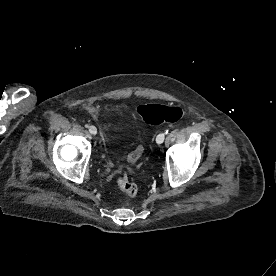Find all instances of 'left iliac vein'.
<instances>
[{
	"mask_svg": "<svg viewBox=\"0 0 276 276\" xmlns=\"http://www.w3.org/2000/svg\"><path fill=\"white\" fill-rule=\"evenodd\" d=\"M164 139H165V133H160L156 138V142L158 144H162L164 142Z\"/></svg>",
	"mask_w": 276,
	"mask_h": 276,
	"instance_id": "left-iliac-vein-1",
	"label": "left iliac vein"
}]
</instances>
